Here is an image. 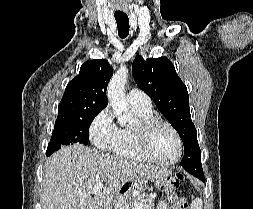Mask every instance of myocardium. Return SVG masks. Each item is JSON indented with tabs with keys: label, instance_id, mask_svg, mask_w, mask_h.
I'll return each instance as SVG.
<instances>
[{
	"label": "myocardium",
	"instance_id": "obj_1",
	"mask_svg": "<svg viewBox=\"0 0 253 209\" xmlns=\"http://www.w3.org/2000/svg\"><path fill=\"white\" fill-rule=\"evenodd\" d=\"M156 125H164L168 127L175 136L177 142V154L171 161H163L156 158L149 149L151 132ZM135 133L137 138L138 149L146 160H149L153 163L163 166L175 165L180 160L183 151L182 139L178 130L169 121L155 116L146 119H141L135 126Z\"/></svg>",
	"mask_w": 253,
	"mask_h": 209
}]
</instances>
